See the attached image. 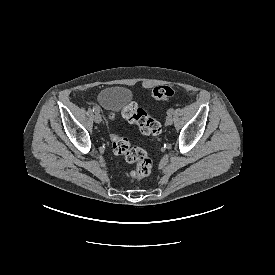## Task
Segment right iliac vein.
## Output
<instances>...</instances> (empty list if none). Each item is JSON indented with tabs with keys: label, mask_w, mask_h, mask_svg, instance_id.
Returning a JSON list of instances; mask_svg holds the SVG:
<instances>
[{
	"label": "right iliac vein",
	"mask_w": 275,
	"mask_h": 275,
	"mask_svg": "<svg viewBox=\"0 0 275 275\" xmlns=\"http://www.w3.org/2000/svg\"><path fill=\"white\" fill-rule=\"evenodd\" d=\"M94 121H95L96 123H100V122L102 121V118H101V115H100V112H99V111H96V112H95Z\"/></svg>",
	"instance_id": "right-iliac-vein-1"
}]
</instances>
